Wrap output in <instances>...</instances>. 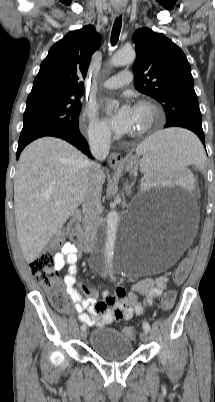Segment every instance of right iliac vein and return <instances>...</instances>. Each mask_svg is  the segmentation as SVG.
I'll return each instance as SVG.
<instances>
[{"instance_id":"obj_1","label":"right iliac vein","mask_w":215,"mask_h":402,"mask_svg":"<svg viewBox=\"0 0 215 402\" xmlns=\"http://www.w3.org/2000/svg\"><path fill=\"white\" fill-rule=\"evenodd\" d=\"M80 337H81L82 340H85V339H86V337H87V332H86V330H83V331L81 332Z\"/></svg>"}]
</instances>
